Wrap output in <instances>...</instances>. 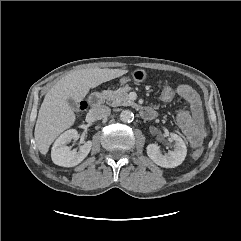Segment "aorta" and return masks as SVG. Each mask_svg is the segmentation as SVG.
<instances>
[{
    "mask_svg": "<svg viewBox=\"0 0 241 241\" xmlns=\"http://www.w3.org/2000/svg\"><path fill=\"white\" fill-rule=\"evenodd\" d=\"M134 119V114L133 112H131L130 110H123L121 113H120V120L122 122H132Z\"/></svg>",
    "mask_w": 241,
    "mask_h": 241,
    "instance_id": "obj_1",
    "label": "aorta"
}]
</instances>
